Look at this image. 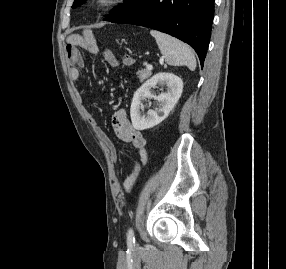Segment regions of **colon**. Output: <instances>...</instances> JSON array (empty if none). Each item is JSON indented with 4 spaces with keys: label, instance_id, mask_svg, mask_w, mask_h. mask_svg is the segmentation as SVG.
Instances as JSON below:
<instances>
[{
    "label": "colon",
    "instance_id": "colon-1",
    "mask_svg": "<svg viewBox=\"0 0 286 269\" xmlns=\"http://www.w3.org/2000/svg\"><path fill=\"white\" fill-rule=\"evenodd\" d=\"M85 41L90 42L89 39ZM135 49H130V54H124L125 61H122V66H135V62H138V57H133Z\"/></svg>",
    "mask_w": 286,
    "mask_h": 269
}]
</instances>
